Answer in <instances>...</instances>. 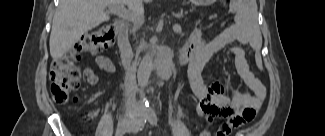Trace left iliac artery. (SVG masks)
Segmentation results:
<instances>
[{
	"mask_svg": "<svg viewBox=\"0 0 325 136\" xmlns=\"http://www.w3.org/2000/svg\"><path fill=\"white\" fill-rule=\"evenodd\" d=\"M147 118H148V121L150 122L151 125L153 126H156L157 125V115L154 111L150 112L148 115H147Z\"/></svg>",
	"mask_w": 325,
	"mask_h": 136,
	"instance_id": "44dca946",
	"label": "left iliac artery"
}]
</instances>
